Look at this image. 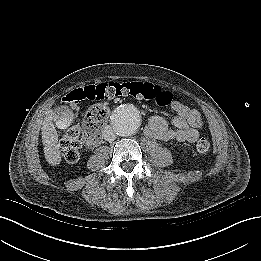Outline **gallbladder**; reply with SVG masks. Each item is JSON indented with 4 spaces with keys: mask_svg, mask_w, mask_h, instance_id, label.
I'll use <instances>...</instances> for the list:
<instances>
[{
    "mask_svg": "<svg viewBox=\"0 0 261 261\" xmlns=\"http://www.w3.org/2000/svg\"><path fill=\"white\" fill-rule=\"evenodd\" d=\"M54 116L58 129H67L74 119L73 111L69 108H58Z\"/></svg>",
    "mask_w": 261,
    "mask_h": 261,
    "instance_id": "bac80fb5",
    "label": "gallbladder"
}]
</instances>
